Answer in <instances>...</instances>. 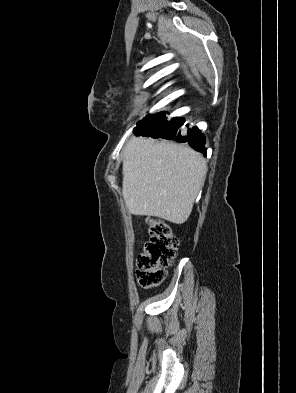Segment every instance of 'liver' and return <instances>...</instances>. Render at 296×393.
Listing matches in <instances>:
<instances>
[{
    "label": "liver",
    "instance_id": "6515ba94",
    "mask_svg": "<svg viewBox=\"0 0 296 393\" xmlns=\"http://www.w3.org/2000/svg\"><path fill=\"white\" fill-rule=\"evenodd\" d=\"M207 173L204 158L189 147L133 137L123 149L122 194L129 212L183 224Z\"/></svg>",
    "mask_w": 296,
    "mask_h": 393
}]
</instances>
